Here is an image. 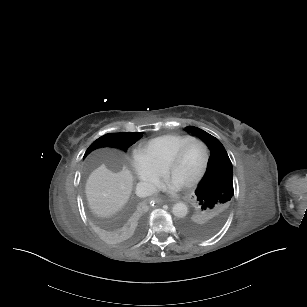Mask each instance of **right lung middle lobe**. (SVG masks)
Wrapping results in <instances>:
<instances>
[{
    "mask_svg": "<svg viewBox=\"0 0 307 307\" xmlns=\"http://www.w3.org/2000/svg\"><path fill=\"white\" fill-rule=\"evenodd\" d=\"M142 133H131V132H123V133H110L104 136H101L97 140H95L85 152L84 157L89 154L92 150L100 148V147H116L120 148L124 151L128 149L129 146L134 144L139 138H141Z\"/></svg>",
    "mask_w": 307,
    "mask_h": 307,
    "instance_id": "dd1d6c3e",
    "label": "right lung middle lobe"
}]
</instances>
